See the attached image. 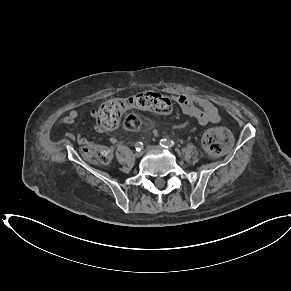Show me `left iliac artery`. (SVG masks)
<instances>
[{
  "mask_svg": "<svg viewBox=\"0 0 291 291\" xmlns=\"http://www.w3.org/2000/svg\"><path fill=\"white\" fill-rule=\"evenodd\" d=\"M176 145V143L173 140L170 139H161L160 140V146L165 147V148H170V147H174Z\"/></svg>",
  "mask_w": 291,
  "mask_h": 291,
  "instance_id": "left-iliac-artery-1",
  "label": "left iliac artery"
}]
</instances>
